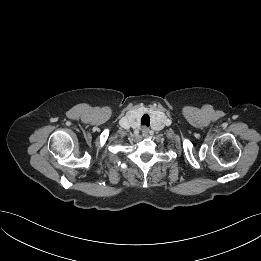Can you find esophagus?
<instances>
[{
    "mask_svg": "<svg viewBox=\"0 0 261 261\" xmlns=\"http://www.w3.org/2000/svg\"><path fill=\"white\" fill-rule=\"evenodd\" d=\"M142 134H143L144 136H147V135L149 134V128L143 127V128H142Z\"/></svg>",
    "mask_w": 261,
    "mask_h": 261,
    "instance_id": "obj_1",
    "label": "esophagus"
}]
</instances>
